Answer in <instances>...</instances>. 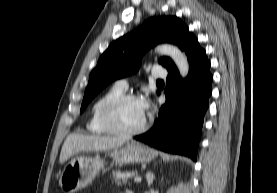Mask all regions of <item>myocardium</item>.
<instances>
[{
	"label": "myocardium",
	"instance_id": "1",
	"mask_svg": "<svg viewBox=\"0 0 277 193\" xmlns=\"http://www.w3.org/2000/svg\"><path fill=\"white\" fill-rule=\"evenodd\" d=\"M129 100H139V97L131 93H122L108 99L101 107L100 120L108 133L120 136L131 137L144 132L148 127V120L145 118L144 122L137 128L131 130H123L117 125L116 111L117 108L124 102Z\"/></svg>",
	"mask_w": 277,
	"mask_h": 193
}]
</instances>
